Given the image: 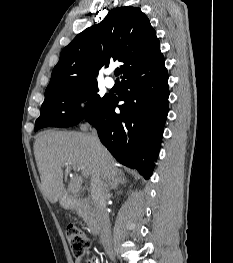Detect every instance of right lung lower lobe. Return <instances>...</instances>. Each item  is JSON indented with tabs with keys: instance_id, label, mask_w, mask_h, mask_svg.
<instances>
[{
	"instance_id": "98d812e1",
	"label": "right lung lower lobe",
	"mask_w": 233,
	"mask_h": 263,
	"mask_svg": "<svg viewBox=\"0 0 233 263\" xmlns=\"http://www.w3.org/2000/svg\"><path fill=\"white\" fill-rule=\"evenodd\" d=\"M122 87L123 105H117L120 99L109 96L86 120L120 163L137 169L148 179L159 154L168 114L167 69L162 64L154 71L133 74L122 80Z\"/></svg>"
}]
</instances>
